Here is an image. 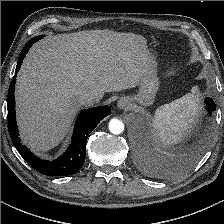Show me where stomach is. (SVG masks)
<instances>
[{
	"label": "stomach",
	"instance_id": "obj_1",
	"mask_svg": "<svg viewBox=\"0 0 224 224\" xmlns=\"http://www.w3.org/2000/svg\"><path fill=\"white\" fill-rule=\"evenodd\" d=\"M157 64L153 57L147 65L146 73L139 80V92L131 96L129 99L133 104H140L143 106H148L153 103L155 94L159 88V79L157 77Z\"/></svg>",
	"mask_w": 224,
	"mask_h": 224
}]
</instances>
